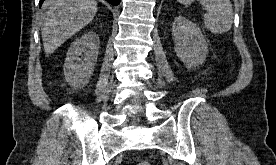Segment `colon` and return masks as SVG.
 <instances>
[{"label":"colon","instance_id":"1","mask_svg":"<svg viewBox=\"0 0 276 165\" xmlns=\"http://www.w3.org/2000/svg\"><path fill=\"white\" fill-rule=\"evenodd\" d=\"M135 165H151L148 161H140L137 162Z\"/></svg>","mask_w":276,"mask_h":165}]
</instances>
